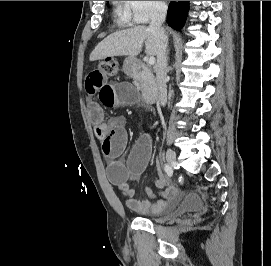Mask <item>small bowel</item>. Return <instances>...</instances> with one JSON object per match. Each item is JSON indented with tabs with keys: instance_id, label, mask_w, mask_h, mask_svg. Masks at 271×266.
I'll use <instances>...</instances> for the list:
<instances>
[{
	"instance_id": "1",
	"label": "small bowel",
	"mask_w": 271,
	"mask_h": 266,
	"mask_svg": "<svg viewBox=\"0 0 271 266\" xmlns=\"http://www.w3.org/2000/svg\"><path fill=\"white\" fill-rule=\"evenodd\" d=\"M85 88L89 95L99 96L100 102L89 101L88 117L96 138L101 142L102 151L108 158L109 181L123 194L126 205L140 214L158 213L174 207L180 199V191L160 171L155 183L160 189L158 196L147 188L152 200L134 199L131 182L138 180L147 166L151 139L147 135L142 136L131 149L128 158L123 160L121 155L128 140L126 120L123 116L114 117L108 122L104 120L102 106L112 108L132 105L138 101L133 86L129 82H110L109 76L97 68L87 75Z\"/></svg>"
}]
</instances>
